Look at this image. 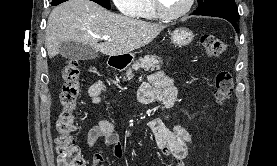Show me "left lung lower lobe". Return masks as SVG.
I'll list each match as a JSON object with an SVG mask.
<instances>
[{"label":"left lung lower lobe","mask_w":277,"mask_h":166,"mask_svg":"<svg viewBox=\"0 0 277 166\" xmlns=\"http://www.w3.org/2000/svg\"><path fill=\"white\" fill-rule=\"evenodd\" d=\"M224 19L228 20L234 26L236 32H239V27H238L237 21L229 19V18H224Z\"/></svg>","instance_id":"1"}]
</instances>
